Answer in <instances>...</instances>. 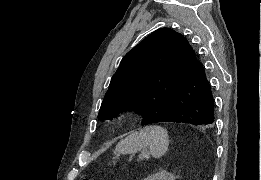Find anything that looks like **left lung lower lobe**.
Listing matches in <instances>:
<instances>
[{
  "instance_id": "obj_1",
  "label": "left lung lower lobe",
  "mask_w": 261,
  "mask_h": 180,
  "mask_svg": "<svg viewBox=\"0 0 261 180\" xmlns=\"http://www.w3.org/2000/svg\"><path fill=\"white\" fill-rule=\"evenodd\" d=\"M157 122H181L202 127L214 125V98L200 61L186 75L167 108L153 123Z\"/></svg>"
}]
</instances>
